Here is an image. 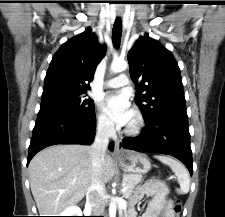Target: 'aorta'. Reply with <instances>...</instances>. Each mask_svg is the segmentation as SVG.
<instances>
[{
    "mask_svg": "<svg viewBox=\"0 0 225 217\" xmlns=\"http://www.w3.org/2000/svg\"><path fill=\"white\" fill-rule=\"evenodd\" d=\"M127 66L128 64L124 60H119V59L113 60L111 64V72L113 73L122 72L127 69ZM109 214H110V217H115L116 215V204L114 201L110 203Z\"/></svg>",
    "mask_w": 225,
    "mask_h": 217,
    "instance_id": "aorta-1",
    "label": "aorta"
}]
</instances>
